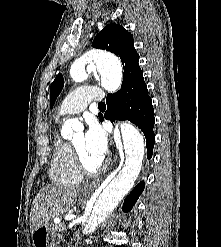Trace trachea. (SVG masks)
<instances>
[{"instance_id":"obj_1","label":"trachea","mask_w":221,"mask_h":247,"mask_svg":"<svg viewBox=\"0 0 221 247\" xmlns=\"http://www.w3.org/2000/svg\"><path fill=\"white\" fill-rule=\"evenodd\" d=\"M98 108H99L100 110H105V109H106L105 103H104V102H99V103H98Z\"/></svg>"}]
</instances>
